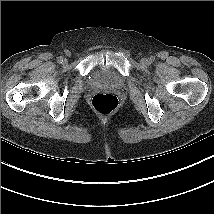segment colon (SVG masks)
Listing matches in <instances>:
<instances>
[{
	"label": "colon",
	"mask_w": 214,
	"mask_h": 214,
	"mask_svg": "<svg viewBox=\"0 0 214 214\" xmlns=\"http://www.w3.org/2000/svg\"><path fill=\"white\" fill-rule=\"evenodd\" d=\"M118 98L112 93H98L92 99L93 108L100 114H109L118 107Z\"/></svg>",
	"instance_id": "obj_1"
}]
</instances>
